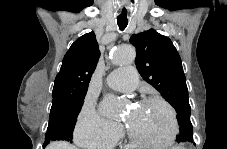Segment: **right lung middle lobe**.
Segmentation results:
<instances>
[{
  "mask_svg": "<svg viewBox=\"0 0 227 149\" xmlns=\"http://www.w3.org/2000/svg\"><path fill=\"white\" fill-rule=\"evenodd\" d=\"M85 96L53 97L49 124L43 147L51 141L66 140L72 142L73 130Z\"/></svg>",
  "mask_w": 227,
  "mask_h": 149,
  "instance_id": "1",
  "label": "right lung middle lobe"
}]
</instances>
